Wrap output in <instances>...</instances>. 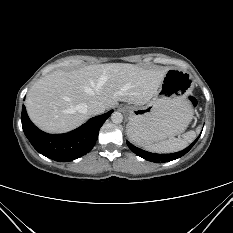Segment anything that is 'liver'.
I'll return each instance as SVG.
<instances>
[{
	"label": "liver",
	"instance_id": "6515ba94",
	"mask_svg": "<svg viewBox=\"0 0 233 233\" xmlns=\"http://www.w3.org/2000/svg\"><path fill=\"white\" fill-rule=\"evenodd\" d=\"M168 70L125 63L55 70L30 88L25 101L27 113L46 132H68L88 120V105L93 101L103 103L106 109L116 107L119 101L137 106L148 103Z\"/></svg>",
	"mask_w": 233,
	"mask_h": 233
}]
</instances>
